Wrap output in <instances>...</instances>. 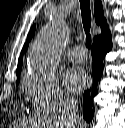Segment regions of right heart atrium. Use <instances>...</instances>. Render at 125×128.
Masks as SVG:
<instances>
[{
  "label": "right heart atrium",
  "instance_id": "d8ad5b80",
  "mask_svg": "<svg viewBox=\"0 0 125 128\" xmlns=\"http://www.w3.org/2000/svg\"><path fill=\"white\" fill-rule=\"evenodd\" d=\"M24 88L32 106L39 112L55 113L73 103L54 76L30 72L25 77Z\"/></svg>",
  "mask_w": 125,
  "mask_h": 128
}]
</instances>
